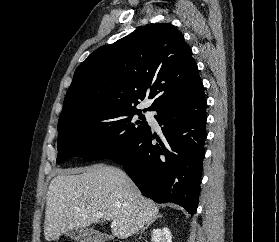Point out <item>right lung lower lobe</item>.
<instances>
[{"instance_id":"1","label":"right lung lower lobe","mask_w":279,"mask_h":242,"mask_svg":"<svg viewBox=\"0 0 279 242\" xmlns=\"http://www.w3.org/2000/svg\"><path fill=\"white\" fill-rule=\"evenodd\" d=\"M206 106L201 86L155 110L162 140L149 127L123 151L107 158L123 165L144 196L157 203H177L195 214L207 138Z\"/></svg>"}]
</instances>
